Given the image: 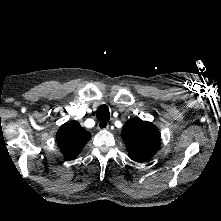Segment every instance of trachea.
<instances>
[{
  "mask_svg": "<svg viewBox=\"0 0 221 221\" xmlns=\"http://www.w3.org/2000/svg\"><path fill=\"white\" fill-rule=\"evenodd\" d=\"M96 117L101 122H107L110 119L109 107L105 104L98 107Z\"/></svg>",
  "mask_w": 221,
  "mask_h": 221,
  "instance_id": "obj_1",
  "label": "trachea"
}]
</instances>
